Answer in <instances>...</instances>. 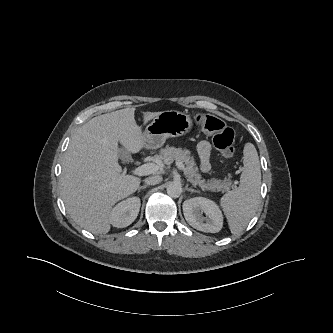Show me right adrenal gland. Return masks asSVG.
<instances>
[{"label":"right adrenal gland","instance_id":"2a0ac1e0","mask_svg":"<svg viewBox=\"0 0 333 333\" xmlns=\"http://www.w3.org/2000/svg\"><path fill=\"white\" fill-rule=\"evenodd\" d=\"M147 187H149V186H148V185L140 186V187L138 188V192H140L141 189H145V188H147Z\"/></svg>","mask_w":333,"mask_h":333}]
</instances>
